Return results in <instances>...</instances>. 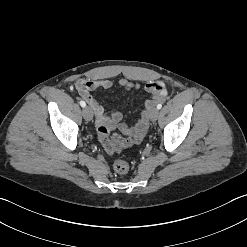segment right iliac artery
<instances>
[{
	"instance_id": "82829eb1",
	"label": "right iliac artery",
	"mask_w": 247,
	"mask_h": 247,
	"mask_svg": "<svg viewBox=\"0 0 247 247\" xmlns=\"http://www.w3.org/2000/svg\"><path fill=\"white\" fill-rule=\"evenodd\" d=\"M80 105L82 106V107H85L86 106V103L84 102V101H80Z\"/></svg>"
}]
</instances>
